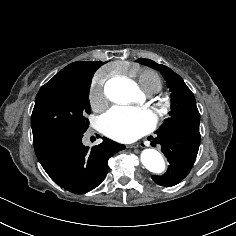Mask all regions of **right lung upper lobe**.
I'll return each instance as SVG.
<instances>
[{
	"label": "right lung upper lobe",
	"mask_w": 236,
	"mask_h": 236,
	"mask_svg": "<svg viewBox=\"0 0 236 236\" xmlns=\"http://www.w3.org/2000/svg\"><path fill=\"white\" fill-rule=\"evenodd\" d=\"M106 62H74L63 68L54 77L75 78L93 75L95 71Z\"/></svg>",
	"instance_id": "1"
}]
</instances>
